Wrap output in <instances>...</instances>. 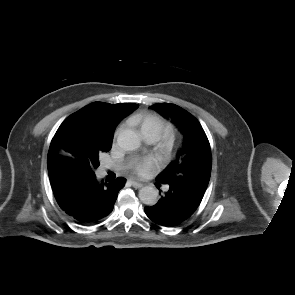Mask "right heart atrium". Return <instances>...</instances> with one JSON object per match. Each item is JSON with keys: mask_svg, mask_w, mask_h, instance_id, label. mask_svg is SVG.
<instances>
[{"mask_svg": "<svg viewBox=\"0 0 295 295\" xmlns=\"http://www.w3.org/2000/svg\"><path fill=\"white\" fill-rule=\"evenodd\" d=\"M119 130H117L116 134H118Z\"/></svg>", "mask_w": 295, "mask_h": 295, "instance_id": "obj_1", "label": "right heart atrium"}]
</instances>
